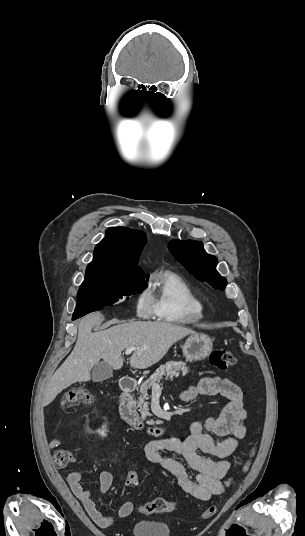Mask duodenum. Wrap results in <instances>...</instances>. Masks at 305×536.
Segmentation results:
<instances>
[{
    "label": "duodenum",
    "mask_w": 305,
    "mask_h": 536,
    "mask_svg": "<svg viewBox=\"0 0 305 536\" xmlns=\"http://www.w3.org/2000/svg\"><path fill=\"white\" fill-rule=\"evenodd\" d=\"M137 388V382L135 379L124 376L120 380L121 400H120V415L125 423L133 427L135 430L145 432L150 435L158 436L164 430V426L160 425H147L141 419L134 398V392Z\"/></svg>",
    "instance_id": "obj_1"
}]
</instances>
